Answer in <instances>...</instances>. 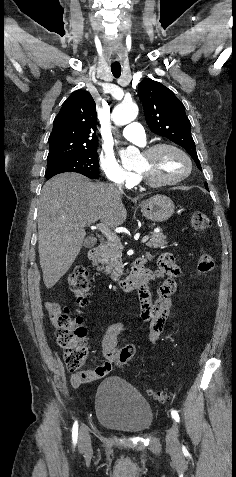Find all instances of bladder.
<instances>
[{
	"label": "bladder",
	"instance_id": "obj_1",
	"mask_svg": "<svg viewBox=\"0 0 236 477\" xmlns=\"http://www.w3.org/2000/svg\"><path fill=\"white\" fill-rule=\"evenodd\" d=\"M97 421L116 431L139 434L154 422V413L142 394L121 377H108L95 393Z\"/></svg>",
	"mask_w": 236,
	"mask_h": 477
}]
</instances>
